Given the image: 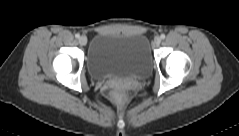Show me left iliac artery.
I'll return each mask as SVG.
<instances>
[{
    "label": "left iliac artery",
    "instance_id": "1",
    "mask_svg": "<svg viewBox=\"0 0 239 136\" xmlns=\"http://www.w3.org/2000/svg\"><path fill=\"white\" fill-rule=\"evenodd\" d=\"M160 38L165 39V34H161Z\"/></svg>",
    "mask_w": 239,
    "mask_h": 136
}]
</instances>
